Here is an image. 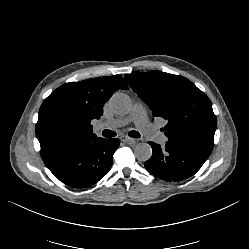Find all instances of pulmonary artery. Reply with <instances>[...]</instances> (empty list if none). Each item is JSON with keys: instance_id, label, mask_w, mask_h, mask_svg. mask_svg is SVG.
Wrapping results in <instances>:
<instances>
[{"instance_id": "1", "label": "pulmonary artery", "mask_w": 249, "mask_h": 249, "mask_svg": "<svg viewBox=\"0 0 249 249\" xmlns=\"http://www.w3.org/2000/svg\"><path fill=\"white\" fill-rule=\"evenodd\" d=\"M131 122L134 123L136 127L141 131L156 133V136L160 143H164L166 141L165 135L158 132L156 126L150 123L147 117L146 108L140 102L134 104L129 115L101 122L95 127L94 130L95 132H100L104 129L113 130L119 127H123Z\"/></svg>"}]
</instances>
